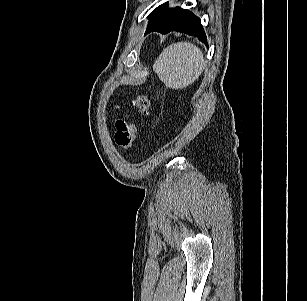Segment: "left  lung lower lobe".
I'll return each instance as SVG.
<instances>
[{
  "instance_id": "0a47b994",
  "label": "left lung lower lobe",
  "mask_w": 307,
  "mask_h": 301,
  "mask_svg": "<svg viewBox=\"0 0 307 301\" xmlns=\"http://www.w3.org/2000/svg\"><path fill=\"white\" fill-rule=\"evenodd\" d=\"M153 31H158L162 34L171 31L187 33L196 36L201 42L207 45L206 35L200 23V19L192 12L180 7L171 9L162 20L147 28L145 35Z\"/></svg>"
}]
</instances>
